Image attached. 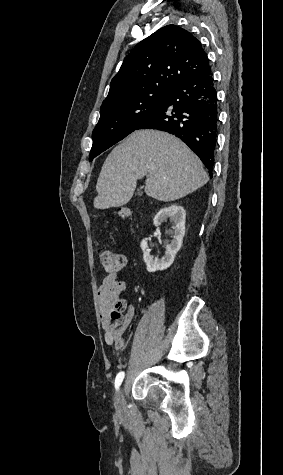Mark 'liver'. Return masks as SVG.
Returning a JSON list of instances; mask_svg holds the SVG:
<instances>
[{
  "mask_svg": "<svg viewBox=\"0 0 283 475\" xmlns=\"http://www.w3.org/2000/svg\"><path fill=\"white\" fill-rule=\"evenodd\" d=\"M147 196L174 202L192 194L209 178L203 164L179 138L158 130H136L106 158L97 180L94 208H118L130 202L137 180Z\"/></svg>",
  "mask_w": 283,
  "mask_h": 475,
  "instance_id": "1",
  "label": "liver"
}]
</instances>
